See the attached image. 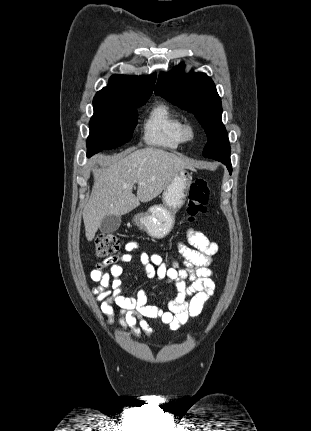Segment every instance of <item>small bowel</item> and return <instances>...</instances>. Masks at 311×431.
<instances>
[{
	"label": "small bowel",
	"mask_w": 311,
	"mask_h": 431,
	"mask_svg": "<svg viewBox=\"0 0 311 431\" xmlns=\"http://www.w3.org/2000/svg\"><path fill=\"white\" fill-rule=\"evenodd\" d=\"M188 245L178 243L180 254L185 259V268L166 267L158 254L141 252L139 263L148 278L166 280L173 285L174 296L168 301L167 310L147 304L144 290L135 296L125 295V286L121 280V263L133 259V251L139 248L136 242L125 245V253L113 256L90 272V280L98 286L92 289L101 311L112 323L113 306L120 308L121 328H131L135 335L141 331H150V321L159 319L172 331L185 325L190 318L200 315L215 290L213 271L210 265L218 252V244L210 241L199 230L187 231ZM110 266V270L103 269Z\"/></svg>",
	"instance_id": "obj_1"
}]
</instances>
